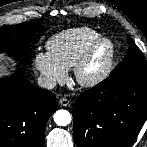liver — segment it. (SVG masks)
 I'll list each match as a JSON object with an SVG mask.
<instances>
[{
    "label": "liver",
    "mask_w": 147,
    "mask_h": 147,
    "mask_svg": "<svg viewBox=\"0 0 147 147\" xmlns=\"http://www.w3.org/2000/svg\"><path fill=\"white\" fill-rule=\"evenodd\" d=\"M11 60L5 55H0V75L8 71Z\"/></svg>",
    "instance_id": "1"
}]
</instances>
